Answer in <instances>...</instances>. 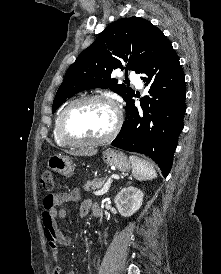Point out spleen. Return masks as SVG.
Returning a JSON list of instances; mask_svg holds the SVG:
<instances>
[{"label":"spleen","instance_id":"obj_1","mask_svg":"<svg viewBox=\"0 0 221 274\" xmlns=\"http://www.w3.org/2000/svg\"><path fill=\"white\" fill-rule=\"evenodd\" d=\"M132 164V174L138 181L151 180L157 177L156 170L148 161L137 156H130Z\"/></svg>","mask_w":221,"mask_h":274}]
</instances>
